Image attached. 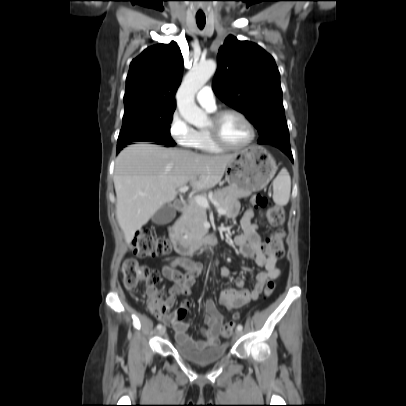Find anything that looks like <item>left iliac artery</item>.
<instances>
[{"label": "left iliac artery", "mask_w": 406, "mask_h": 406, "mask_svg": "<svg viewBox=\"0 0 406 406\" xmlns=\"http://www.w3.org/2000/svg\"><path fill=\"white\" fill-rule=\"evenodd\" d=\"M243 329V326L241 325V324H239L238 326H237V330H242Z\"/></svg>", "instance_id": "44dca946"}]
</instances>
